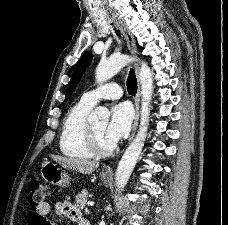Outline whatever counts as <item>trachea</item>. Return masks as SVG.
<instances>
[{
  "label": "trachea",
  "mask_w": 228,
  "mask_h": 225,
  "mask_svg": "<svg viewBox=\"0 0 228 225\" xmlns=\"http://www.w3.org/2000/svg\"><path fill=\"white\" fill-rule=\"evenodd\" d=\"M116 33L117 35L120 36L119 30H116ZM126 84H127L128 93H130L131 95H135V93L137 92V80H136L135 72L132 69L129 72V76Z\"/></svg>",
  "instance_id": "1"
}]
</instances>
